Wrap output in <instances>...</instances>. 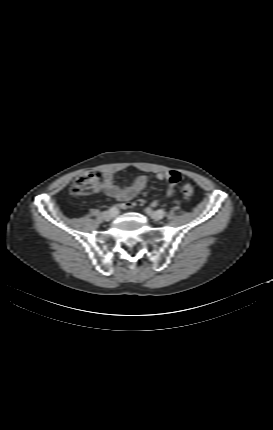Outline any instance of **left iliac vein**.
<instances>
[{"label":"left iliac vein","mask_w":273,"mask_h":430,"mask_svg":"<svg viewBox=\"0 0 273 430\" xmlns=\"http://www.w3.org/2000/svg\"><path fill=\"white\" fill-rule=\"evenodd\" d=\"M145 212L155 221L162 219V217L158 214L157 211H152L150 208H146Z\"/></svg>","instance_id":"left-iliac-vein-1"}]
</instances>
